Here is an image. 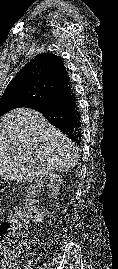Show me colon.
Wrapping results in <instances>:
<instances>
[{
  "mask_svg": "<svg viewBox=\"0 0 118 269\" xmlns=\"http://www.w3.org/2000/svg\"><path fill=\"white\" fill-rule=\"evenodd\" d=\"M0 190L2 182L0 181ZM27 235V223L20 207H15L9 219L0 226V269H18L15 247Z\"/></svg>",
  "mask_w": 118,
  "mask_h": 269,
  "instance_id": "5ec220e1",
  "label": "colon"
}]
</instances>
